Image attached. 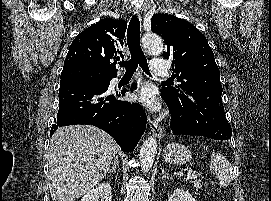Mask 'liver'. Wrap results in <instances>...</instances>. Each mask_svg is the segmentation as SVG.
<instances>
[{
	"instance_id": "obj_1",
	"label": "liver",
	"mask_w": 271,
	"mask_h": 201,
	"mask_svg": "<svg viewBox=\"0 0 271 201\" xmlns=\"http://www.w3.org/2000/svg\"><path fill=\"white\" fill-rule=\"evenodd\" d=\"M119 150L115 140L95 126L58 128L49 146L52 201H75L91 191L118 159Z\"/></svg>"
}]
</instances>
